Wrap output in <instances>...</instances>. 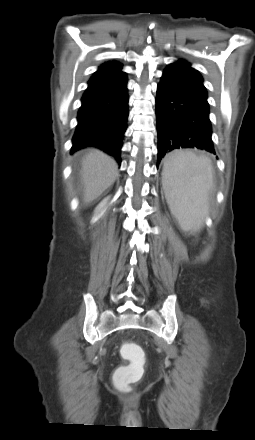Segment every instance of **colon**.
Returning a JSON list of instances; mask_svg holds the SVG:
<instances>
[{
	"label": "colon",
	"mask_w": 255,
	"mask_h": 440,
	"mask_svg": "<svg viewBox=\"0 0 255 440\" xmlns=\"http://www.w3.org/2000/svg\"><path fill=\"white\" fill-rule=\"evenodd\" d=\"M120 351L122 357L130 363L118 370L115 382L118 387L127 388L142 375L143 352L138 345L133 343L123 344Z\"/></svg>",
	"instance_id": "obj_1"
}]
</instances>
